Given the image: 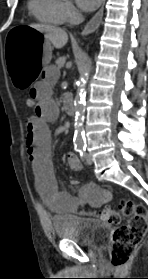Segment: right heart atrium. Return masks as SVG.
Wrapping results in <instances>:
<instances>
[{"mask_svg":"<svg viewBox=\"0 0 148 279\" xmlns=\"http://www.w3.org/2000/svg\"><path fill=\"white\" fill-rule=\"evenodd\" d=\"M62 11L67 21H74L78 17L76 8L70 2H62Z\"/></svg>","mask_w":148,"mask_h":279,"instance_id":"obj_1","label":"right heart atrium"}]
</instances>
